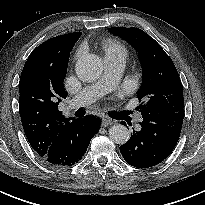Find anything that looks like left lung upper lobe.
<instances>
[{
	"instance_id": "5c2ea615",
	"label": "left lung upper lobe",
	"mask_w": 205,
	"mask_h": 205,
	"mask_svg": "<svg viewBox=\"0 0 205 205\" xmlns=\"http://www.w3.org/2000/svg\"><path fill=\"white\" fill-rule=\"evenodd\" d=\"M110 30L128 41L138 52L143 81L138 91L143 118L164 111L183 110V88L171 58L148 34L138 28L114 27Z\"/></svg>"
}]
</instances>
